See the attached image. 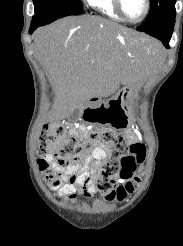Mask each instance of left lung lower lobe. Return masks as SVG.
Listing matches in <instances>:
<instances>
[{"mask_svg":"<svg viewBox=\"0 0 183 246\" xmlns=\"http://www.w3.org/2000/svg\"><path fill=\"white\" fill-rule=\"evenodd\" d=\"M174 23H175V21L173 23L167 24V25L162 26L160 28H156V29L148 30V31H144V32L147 33L148 35H151V36L161 40L162 43L164 44V46L166 48H169V41H170L172 33H173Z\"/></svg>","mask_w":183,"mask_h":246,"instance_id":"left-lung-lower-lobe-1","label":"left lung lower lobe"}]
</instances>
